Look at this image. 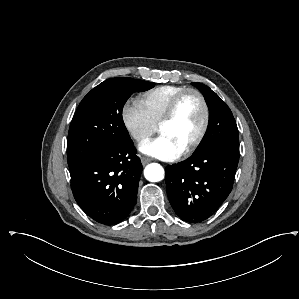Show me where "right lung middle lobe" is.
<instances>
[{"label":"right lung middle lobe","mask_w":299,"mask_h":299,"mask_svg":"<svg viewBox=\"0 0 299 299\" xmlns=\"http://www.w3.org/2000/svg\"><path fill=\"white\" fill-rule=\"evenodd\" d=\"M152 87L153 83L143 80L111 78L83 98L68 133L70 170L98 153L131 141L122 119L123 106L134 91L141 92Z\"/></svg>","instance_id":"1"}]
</instances>
